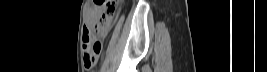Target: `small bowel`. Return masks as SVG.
I'll return each instance as SVG.
<instances>
[{"instance_id": "1", "label": "small bowel", "mask_w": 267, "mask_h": 72, "mask_svg": "<svg viewBox=\"0 0 267 72\" xmlns=\"http://www.w3.org/2000/svg\"><path fill=\"white\" fill-rule=\"evenodd\" d=\"M88 31H90V28L88 27L87 29H86V33L88 32ZM86 35V34H85ZM85 37V36H84ZM83 45H84V43H83ZM101 48H102V46H101ZM101 51V50H100ZM99 54H100V52H99ZM99 54H98V56H97V59H98V57H99ZM84 57H85V54H84V56H83V59H84ZM85 67L87 68V69H91L93 66H91V65H89V64H87V63H85Z\"/></svg>"}]
</instances>
